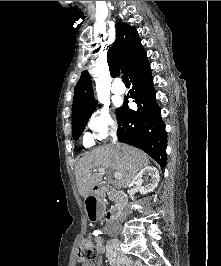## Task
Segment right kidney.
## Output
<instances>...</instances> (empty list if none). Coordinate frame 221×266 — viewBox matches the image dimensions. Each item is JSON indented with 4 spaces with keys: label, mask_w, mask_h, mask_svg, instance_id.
<instances>
[{
    "label": "right kidney",
    "mask_w": 221,
    "mask_h": 266,
    "mask_svg": "<svg viewBox=\"0 0 221 266\" xmlns=\"http://www.w3.org/2000/svg\"><path fill=\"white\" fill-rule=\"evenodd\" d=\"M145 180V184H143ZM159 172L155 167L146 166L134 177L132 183L141 193L152 192L159 183Z\"/></svg>",
    "instance_id": "obj_1"
}]
</instances>
